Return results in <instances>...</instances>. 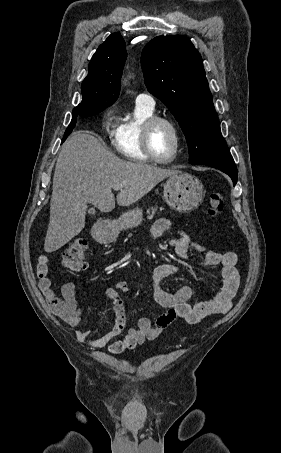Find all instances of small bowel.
I'll list each match as a JSON object with an SVG mask.
<instances>
[{
    "label": "small bowel",
    "instance_id": "obj_1",
    "mask_svg": "<svg viewBox=\"0 0 281 453\" xmlns=\"http://www.w3.org/2000/svg\"><path fill=\"white\" fill-rule=\"evenodd\" d=\"M174 231L176 237L172 240V247L176 255L187 259L191 249L204 252L201 259L195 262V268H188L177 262H165L158 265L153 272V288L156 301L166 309V313L160 316L155 324L147 319H141L136 326L127 329L125 337L121 340L110 343L113 338L120 335L126 326L124 306L121 293L129 291L127 282H118L105 291V296L111 304L113 312L112 329L103 335L92 337L90 331L78 329L82 323L81 308L76 300V286L67 282L62 286L63 300H60L51 283L48 275L50 258L41 255L38 263V280L41 292L46 298L53 315L57 316L69 326L76 328L78 340L86 343L94 349L103 348L108 345V351L112 355H121L133 350L145 339L154 340L173 325L178 319H183L187 324H198L209 314H226L234 304L239 288V275L236 268L237 257L234 253H219L217 251H204V247L195 241L182 229L175 228L167 219H159L155 222L151 231L153 241L158 240L164 233ZM221 268V286L219 295L210 301L189 303L192 295V288L183 286L177 288L175 293H168L161 287V282L169 276L180 275L184 272H198L197 269H206L212 266ZM62 269H72L82 272L88 269L87 262L74 263L71 259H62Z\"/></svg>",
    "mask_w": 281,
    "mask_h": 453
}]
</instances>
